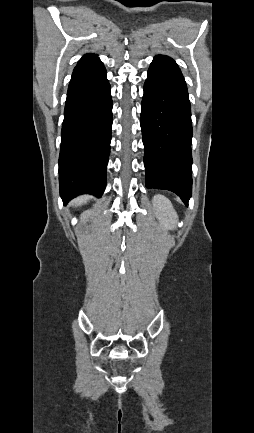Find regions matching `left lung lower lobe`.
<instances>
[{
  "label": "left lung lower lobe",
  "mask_w": 254,
  "mask_h": 433,
  "mask_svg": "<svg viewBox=\"0 0 254 433\" xmlns=\"http://www.w3.org/2000/svg\"><path fill=\"white\" fill-rule=\"evenodd\" d=\"M146 187L192 194L191 107L184 77L173 59L155 56L141 103Z\"/></svg>",
  "instance_id": "left-lung-lower-lobe-1"
}]
</instances>
